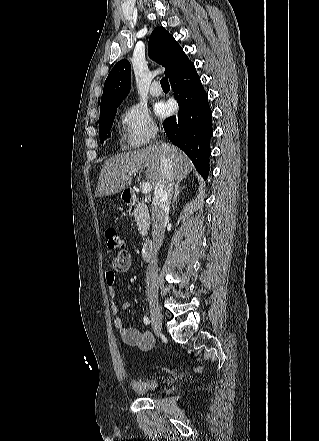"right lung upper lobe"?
Wrapping results in <instances>:
<instances>
[{
  "instance_id": "cb5924a9",
  "label": "right lung upper lobe",
  "mask_w": 319,
  "mask_h": 441,
  "mask_svg": "<svg viewBox=\"0 0 319 441\" xmlns=\"http://www.w3.org/2000/svg\"><path fill=\"white\" fill-rule=\"evenodd\" d=\"M148 51L151 59L165 67V76L169 80L192 63L173 36L163 27H156L153 30L149 38ZM130 86V63L122 59L114 65L105 81L100 110L119 106L129 93Z\"/></svg>"
}]
</instances>
